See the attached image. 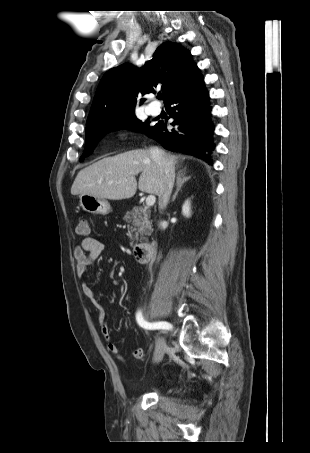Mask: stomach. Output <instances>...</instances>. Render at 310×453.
<instances>
[{
  "mask_svg": "<svg viewBox=\"0 0 310 453\" xmlns=\"http://www.w3.org/2000/svg\"><path fill=\"white\" fill-rule=\"evenodd\" d=\"M80 206L84 211L91 214L107 215L111 211L109 202L106 199L98 198L89 194H81Z\"/></svg>",
  "mask_w": 310,
  "mask_h": 453,
  "instance_id": "obj_1",
  "label": "stomach"
}]
</instances>
